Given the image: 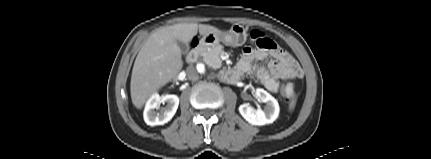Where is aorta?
<instances>
[{"mask_svg":"<svg viewBox=\"0 0 431 159\" xmlns=\"http://www.w3.org/2000/svg\"><path fill=\"white\" fill-rule=\"evenodd\" d=\"M197 72H199L201 75H207L209 73L208 65L203 62L197 63Z\"/></svg>","mask_w":431,"mask_h":159,"instance_id":"aorta-1","label":"aorta"}]
</instances>
